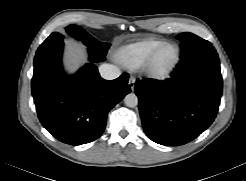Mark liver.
Returning a JSON list of instances; mask_svg holds the SVG:
<instances>
[{"instance_id":"obj_1","label":"liver","mask_w":246,"mask_h":181,"mask_svg":"<svg viewBox=\"0 0 246 181\" xmlns=\"http://www.w3.org/2000/svg\"><path fill=\"white\" fill-rule=\"evenodd\" d=\"M72 65L69 66L71 71H74L76 68V60H71L70 62Z\"/></svg>"}]
</instances>
